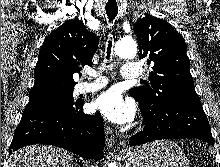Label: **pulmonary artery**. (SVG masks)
Masks as SVG:
<instances>
[{
    "instance_id": "pulmonary-artery-1",
    "label": "pulmonary artery",
    "mask_w": 220,
    "mask_h": 167,
    "mask_svg": "<svg viewBox=\"0 0 220 167\" xmlns=\"http://www.w3.org/2000/svg\"><path fill=\"white\" fill-rule=\"evenodd\" d=\"M121 74L124 79H137L142 74V68L137 64L125 63L122 65ZM90 75L94 80L89 83H82L79 88L80 93L95 92L106 86L107 80L99 73L92 71Z\"/></svg>"
}]
</instances>
